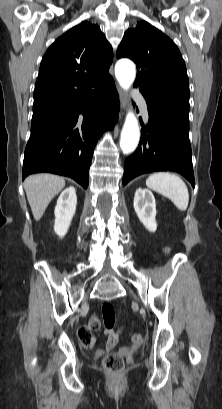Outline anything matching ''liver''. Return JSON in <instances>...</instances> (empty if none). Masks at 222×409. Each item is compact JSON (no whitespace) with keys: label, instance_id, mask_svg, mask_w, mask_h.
<instances>
[{"label":"liver","instance_id":"liver-1","mask_svg":"<svg viewBox=\"0 0 222 409\" xmlns=\"http://www.w3.org/2000/svg\"><path fill=\"white\" fill-rule=\"evenodd\" d=\"M64 187V178L53 174H36L25 179L24 189L35 220H40L48 204Z\"/></svg>","mask_w":222,"mask_h":409}]
</instances>
